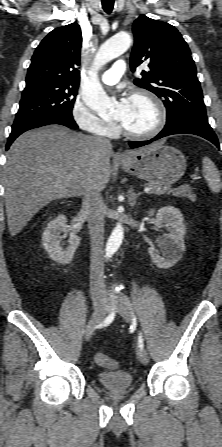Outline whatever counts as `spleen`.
<instances>
[{
    "label": "spleen",
    "instance_id": "3e777b00",
    "mask_svg": "<svg viewBox=\"0 0 222 447\" xmlns=\"http://www.w3.org/2000/svg\"><path fill=\"white\" fill-rule=\"evenodd\" d=\"M203 174L211 191L219 193L222 189L220 174L215 164L208 157H203Z\"/></svg>",
    "mask_w": 222,
    "mask_h": 447
}]
</instances>
